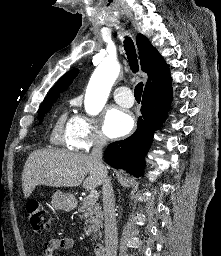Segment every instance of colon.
I'll list each match as a JSON object with an SVG mask.
<instances>
[{"label": "colon", "mask_w": 221, "mask_h": 256, "mask_svg": "<svg viewBox=\"0 0 221 256\" xmlns=\"http://www.w3.org/2000/svg\"><path fill=\"white\" fill-rule=\"evenodd\" d=\"M29 223L35 232H42L50 226L51 216L38 200H30L26 206Z\"/></svg>", "instance_id": "obj_1"}]
</instances>
